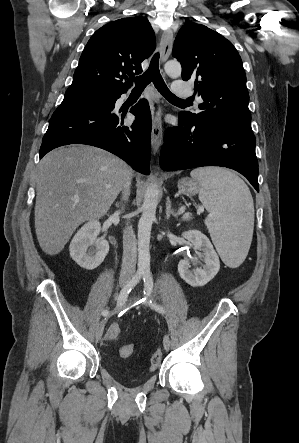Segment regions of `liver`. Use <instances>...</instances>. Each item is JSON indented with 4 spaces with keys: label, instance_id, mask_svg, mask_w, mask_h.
<instances>
[{
    "label": "liver",
    "instance_id": "6515ba94",
    "mask_svg": "<svg viewBox=\"0 0 299 443\" xmlns=\"http://www.w3.org/2000/svg\"><path fill=\"white\" fill-rule=\"evenodd\" d=\"M133 170L102 149L70 145L49 152L36 175L35 231L48 255L61 252L76 228L103 217Z\"/></svg>",
    "mask_w": 299,
    "mask_h": 443
}]
</instances>
